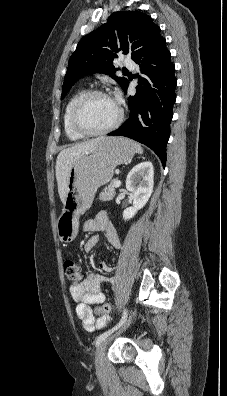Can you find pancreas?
<instances>
[{"label": "pancreas", "instance_id": "1", "mask_svg": "<svg viewBox=\"0 0 227 396\" xmlns=\"http://www.w3.org/2000/svg\"><path fill=\"white\" fill-rule=\"evenodd\" d=\"M116 179L112 180L108 186L104 188V190L100 193L99 199L102 201H111L116 192H115V184Z\"/></svg>", "mask_w": 227, "mask_h": 396}]
</instances>
